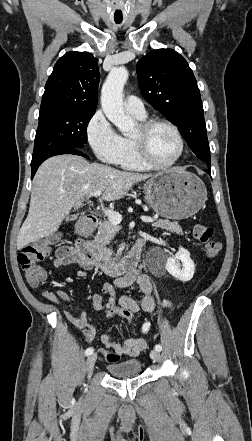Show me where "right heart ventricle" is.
<instances>
[{
  "label": "right heart ventricle",
  "instance_id": "1",
  "mask_svg": "<svg viewBox=\"0 0 252 441\" xmlns=\"http://www.w3.org/2000/svg\"><path fill=\"white\" fill-rule=\"evenodd\" d=\"M140 120H145V117H137ZM124 150L120 157L118 165L123 169L130 171L143 172L148 171L149 168L139 159L134 143L131 137H124Z\"/></svg>",
  "mask_w": 252,
  "mask_h": 441
}]
</instances>
